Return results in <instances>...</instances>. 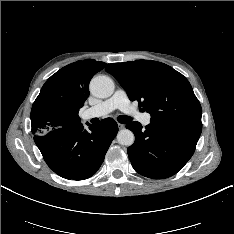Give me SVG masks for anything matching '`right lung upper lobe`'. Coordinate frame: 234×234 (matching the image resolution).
Returning a JSON list of instances; mask_svg holds the SVG:
<instances>
[{
  "instance_id": "1",
  "label": "right lung upper lobe",
  "mask_w": 234,
  "mask_h": 234,
  "mask_svg": "<svg viewBox=\"0 0 234 234\" xmlns=\"http://www.w3.org/2000/svg\"><path fill=\"white\" fill-rule=\"evenodd\" d=\"M107 64L93 59L69 64L43 85L31 110L32 133L81 124L78 116L89 96V82Z\"/></svg>"
}]
</instances>
